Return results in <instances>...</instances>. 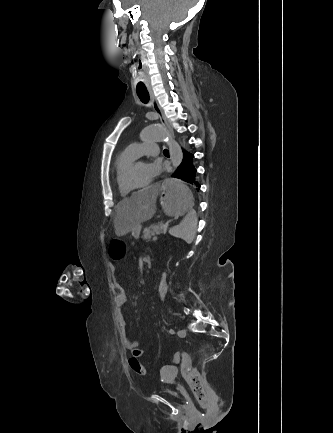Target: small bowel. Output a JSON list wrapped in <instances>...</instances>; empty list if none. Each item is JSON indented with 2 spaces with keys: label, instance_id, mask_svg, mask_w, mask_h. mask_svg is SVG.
Segmentation results:
<instances>
[{
  "label": "small bowel",
  "instance_id": "1",
  "mask_svg": "<svg viewBox=\"0 0 333 433\" xmlns=\"http://www.w3.org/2000/svg\"><path fill=\"white\" fill-rule=\"evenodd\" d=\"M113 285H114V302H115L116 307L119 309L118 323H119L120 330H121L122 344L126 349L131 351V353H132L131 358H135L136 360L139 361V357H141L144 354L145 350L139 346V343L137 341L132 340L128 336V334H127V322H126V319H125L123 313L121 312V308L126 303V300H127L125 288L123 287V285L118 280H115ZM167 288H168V286H167V281H166V285L163 286L164 292L162 293V295H163L162 298L164 297V295L167 291Z\"/></svg>",
  "mask_w": 333,
  "mask_h": 433
}]
</instances>
